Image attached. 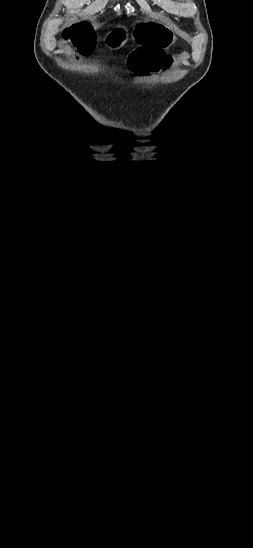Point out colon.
<instances>
[{
  "label": "colon",
  "instance_id": "obj_1",
  "mask_svg": "<svg viewBox=\"0 0 253 548\" xmlns=\"http://www.w3.org/2000/svg\"><path fill=\"white\" fill-rule=\"evenodd\" d=\"M67 36L81 50L89 49L93 43V35L85 22L73 24L68 29ZM163 58L162 49H136L128 55V65L132 70L146 71L145 75L151 78L154 73H165L166 66L161 61Z\"/></svg>",
  "mask_w": 253,
  "mask_h": 548
}]
</instances>
